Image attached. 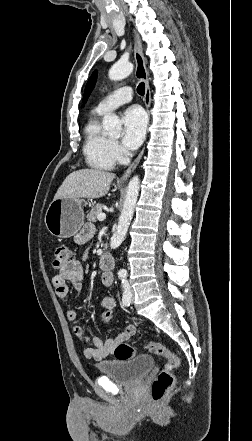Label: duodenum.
<instances>
[{
  "label": "duodenum",
  "instance_id": "410a0bca",
  "mask_svg": "<svg viewBox=\"0 0 252 441\" xmlns=\"http://www.w3.org/2000/svg\"><path fill=\"white\" fill-rule=\"evenodd\" d=\"M99 265L105 273H110L114 268V259L109 253L103 251L99 255Z\"/></svg>",
  "mask_w": 252,
  "mask_h": 441
}]
</instances>
